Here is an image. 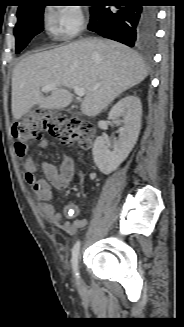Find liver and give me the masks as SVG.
<instances>
[{
	"label": "liver",
	"mask_w": 184,
	"mask_h": 327,
	"mask_svg": "<svg viewBox=\"0 0 184 327\" xmlns=\"http://www.w3.org/2000/svg\"><path fill=\"white\" fill-rule=\"evenodd\" d=\"M148 71L137 52L112 40L90 37L29 55L12 75V115L20 119L33 106L63 109L72 101L68 90L85 89L81 111L97 116L116 97L142 82ZM57 89L44 96L43 86Z\"/></svg>",
	"instance_id": "6515ba94"
}]
</instances>
